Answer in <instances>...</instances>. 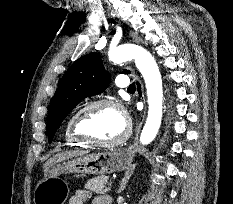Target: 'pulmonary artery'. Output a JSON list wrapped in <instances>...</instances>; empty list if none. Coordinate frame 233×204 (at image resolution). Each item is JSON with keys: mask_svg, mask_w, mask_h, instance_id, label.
Wrapping results in <instances>:
<instances>
[{"mask_svg": "<svg viewBox=\"0 0 233 204\" xmlns=\"http://www.w3.org/2000/svg\"><path fill=\"white\" fill-rule=\"evenodd\" d=\"M131 82L127 75H119L116 79V85L120 88H128Z\"/></svg>", "mask_w": 233, "mask_h": 204, "instance_id": "pulmonary-artery-1", "label": "pulmonary artery"}]
</instances>
